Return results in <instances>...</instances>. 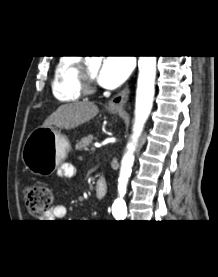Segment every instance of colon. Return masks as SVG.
<instances>
[{
	"label": "colon",
	"instance_id": "5ec220e1",
	"mask_svg": "<svg viewBox=\"0 0 218 277\" xmlns=\"http://www.w3.org/2000/svg\"><path fill=\"white\" fill-rule=\"evenodd\" d=\"M53 201L52 190L40 184H34L25 189V205L28 212L34 216H43Z\"/></svg>",
	"mask_w": 218,
	"mask_h": 277
}]
</instances>
